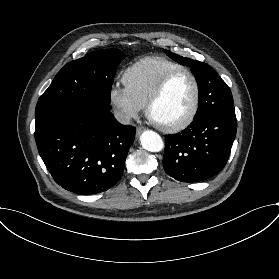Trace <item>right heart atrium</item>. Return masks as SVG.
<instances>
[{"mask_svg": "<svg viewBox=\"0 0 279 279\" xmlns=\"http://www.w3.org/2000/svg\"><path fill=\"white\" fill-rule=\"evenodd\" d=\"M109 101L123 121L136 118L146 108V101L126 84H113L109 90Z\"/></svg>", "mask_w": 279, "mask_h": 279, "instance_id": "obj_1", "label": "right heart atrium"}]
</instances>
